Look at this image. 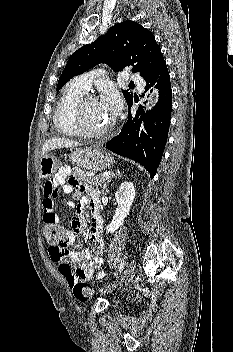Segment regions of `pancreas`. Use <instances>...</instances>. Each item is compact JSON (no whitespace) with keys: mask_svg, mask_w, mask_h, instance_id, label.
<instances>
[{"mask_svg":"<svg viewBox=\"0 0 233 352\" xmlns=\"http://www.w3.org/2000/svg\"><path fill=\"white\" fill-rule=\"evenodd\" d=\"M74 171V175L77 179L85 181L87 183H91L93 185H95L96 187H102L105 185V182L109 179L108 177H105L103 175H91L88 174L80 169H78L77 167L73 168Z\"/></svg>","mask_w":233,"mask_h":352,"instance_id":"cf45deb5","label":"pancreas"}]
</instances>
